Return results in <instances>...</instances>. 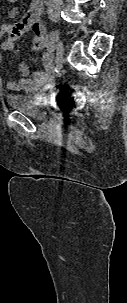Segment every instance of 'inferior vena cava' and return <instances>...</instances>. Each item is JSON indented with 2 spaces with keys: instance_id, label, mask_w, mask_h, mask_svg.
Here are the masks:
<instances>
[{
  "instance_id": "inferior-vena-cava-1",
  "label": "inferior vena cava",
  "mask_w": 127,
  "mask_h": 303,
  "mask_svg": "<svg viewBox=\"0 0 127 303\" xmlns=\"http://www.w3.org/2000/svg\"><path fill=\"white\" fill-rule=\"evenodd\" d=\"M62 4L63 0H49L48 16L51 20L57 21L59 19Z\"/></svg>"
}]
</instances>
